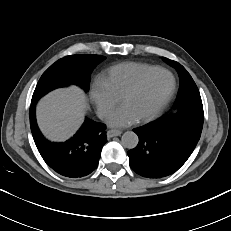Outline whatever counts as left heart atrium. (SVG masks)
<instances>
[{
    "label": "left heart atrium",
    "mask_w": 231,
    "mask_h": 231,
    "mask_svg": "<svg viewBox=\"0 0 231 231\" xmlns=\"http://www.w3.org/2000/svg\"><path fill=\"white\" fill-rule=\"evenodd\" d=\"M137 119L133 111L127 105H123L109 117L108 122L114 127H124L133 124Z\"/></svg>",
    "instance_id": "1"
}]
</instances>
